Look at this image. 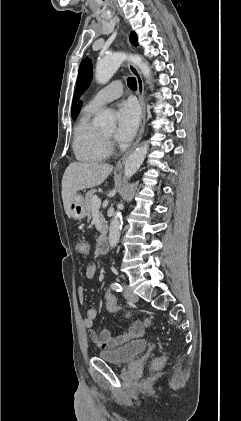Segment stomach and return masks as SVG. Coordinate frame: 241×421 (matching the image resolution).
<instances>
[{
  "label": "stomach",
  "mask_w": 241,
  "mask_h": 421,
  "mask_svg": "<svg viewBox=\"0 0 241 421\" xmlns=\"http://www.w3.org/2000/svg\"><path fill=\"white\" fill-rule=\"evenodd\" d=\"M86 215L85 199L81 194H76L70 205V217L80 221Z\"/></svg>",
  "instance_id": "obj_1"
}]
</instances>
